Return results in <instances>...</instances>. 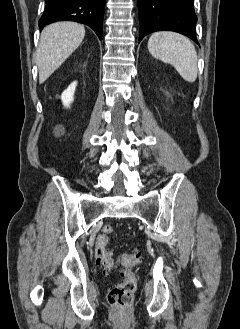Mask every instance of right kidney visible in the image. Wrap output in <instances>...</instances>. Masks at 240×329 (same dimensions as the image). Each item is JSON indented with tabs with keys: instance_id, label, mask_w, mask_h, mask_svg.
<instances>
[{
	"instance_id": "ca27d5eb",
	"label": "right kidney",
	"mask_w": 240,
	"mask_h": 329,
	"mask_svg": "<svg viewBox=\"0 0 240 329\" xmlns=\"http://www.w3.org/2000/svg\"><path fill=\"white\" fill-rule=\"evenodd\" d=\"M77 82H73L61 95V100L64 106L69 107V105L73 102L74 92L76 88ZM55 133L60 135L64 133V127L62 125L56 126Z\"/></svg>"
}]
</instances>
